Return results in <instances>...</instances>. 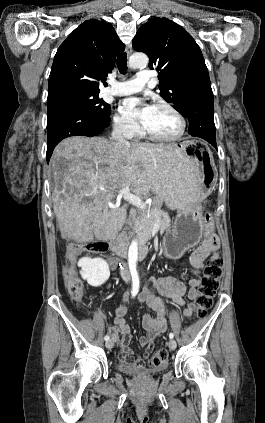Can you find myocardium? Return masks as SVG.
<instances>
[{"instance_id":"obj_1","label":"myocardium","mask_w":265,"mask_h":423,"mask_svg":"<svg viewBox=\"0 0 265 423\" xmlns=\"http://www.w3.org/2000/svg\"><path fill=\"white\" fill-rule=\"evenodd\" d=\"M153 107L165 108L169 110L170 112H172L180 122V129L178 133L173 136H162V135H158L156 133L149 131L144 125H142L141 127L142 133L152 140L161 141V142H175L180 140L185 135L186 129H187V121L184 115L175 106L165 101H158L154 103Z\"/></svg>"}]
</instances>
